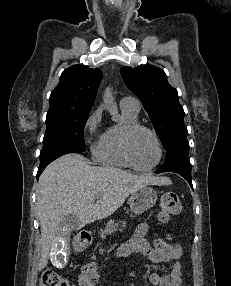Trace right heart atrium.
I'll list each match as a JSON object with an SVG mask.
<instances>
[{
  "label": "right heart atrium",
  "mask_w": 231,
  "mask_h": 286,
  "mask_svg": "<svg viewBox=\"0 0 231 286\" xmlns=\"http://www.w3.org/2000/svg\"><path fill=\"white\" fill-rule=\"evenodd\" d=\"M102 119V110L97 108L87 119L85 124V134L88 138L99 134V126Z\"/></svg>",
  "instance_id": "d8ad5b80"
}]
</instances>
